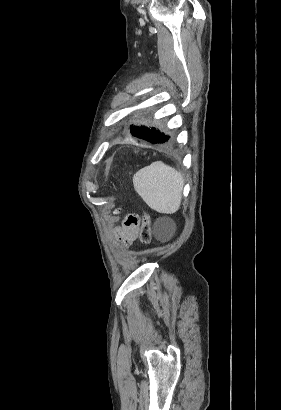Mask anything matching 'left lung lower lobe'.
I'll return each mask as SVG.
<instances>
[{"instance_id":"obj_1","label":"left lung lower lobe","mask_w":281,"mask_h":410,"mask_svg":"<svg viewBox=\"0 0 281 410\" xmlns=\"http://www.w3.org/2000/svg\"><path fill=\"white\" fill-rule=\"evenodd\" d=\"M132 135L147 140L153 144L155 143H165L168 141V137L160 133L155 128H148L145 126L135 127L131 126L130 128Z\"/></svg>"}]
</instances>
